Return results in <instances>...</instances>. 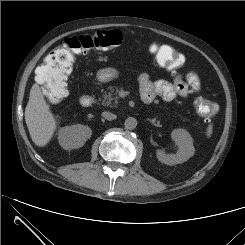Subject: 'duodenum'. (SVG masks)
Returning <instances> with one entry per match:
<instances>
[{
	"label": "duodenum",
	"mask_w": 245,
	"mask_h": 245,
	"mask_svg": "<svg viewBox=\"0 0 245 245\" xmlns=\"http://www.w3.org/2000/svg\"><path fill=\"white\" fill-rule=\"evenodd\" d=\"M94 102V98L90 94H84L80 97L79 103L82 107L88 108L90 107Z\"/></svg>",
	"instance_id": "1"
}]
</instances>
